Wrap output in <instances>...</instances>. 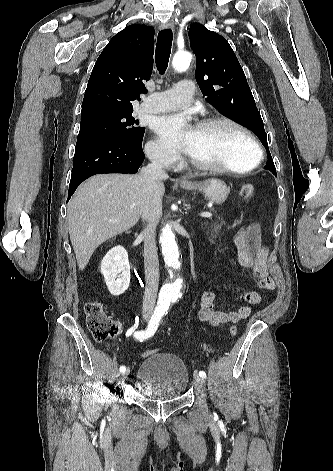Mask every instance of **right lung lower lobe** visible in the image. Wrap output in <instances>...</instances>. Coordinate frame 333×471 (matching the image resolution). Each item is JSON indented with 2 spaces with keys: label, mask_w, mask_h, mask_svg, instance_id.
I'll return each instance as SVG.
<instances>
[{
  "label": "right lung lower lobe",
  "mask_w": 333,
  "mask_h": 471,
  "mask_svg": "<svg viewBox=\"0 0 333 471\" xmlns=\"http://www.w3.org/2000/svg\"><path fill=\"white\" fill-rule=\"evenodd\" d=\"M141 144L105 134L78 137L68 200L79 184L92 175L100 173H136L144 161Z\"/></svg>",
  "instance_id": "98d812e1"
}]
</instances>
